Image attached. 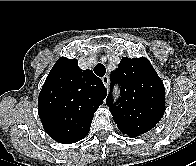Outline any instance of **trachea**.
Masks as SVG:
<instances>
[{
    "instance_id": "trachea-1",
    "label": "trachea",
    "mask_w": 196,
    "mask_h": 166,
    "mask_svg": "<svg viewBox=\"0 0 196 166\" xmlns=\"http://www.w3.org/2000/svg\"><path fill=\"white\" fill-rule=\"evenodd\" d=\"M94 72L97 76L99 77H103L106 73V69L105 66L103 64L98 63L95 67H94Z\"/></svg>"
}]
</instances>
